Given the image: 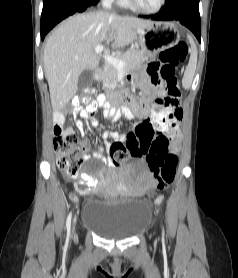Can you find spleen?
<instances>
[{
  "mask_svg": "<svg viewBox=\"0 0 238 278\" xmlns=\"http://www.w3.org/2000/svg\"><path fill=\"white\" fill-rule=\"evenodd\" d=\"M188 38L191 44V55L182 79V85L185 89L190 88L195 75V70L197 65V49L193 39L190 36H188Z\"/></svg>",
  "mask_w": 238,
  "mask_h": 278,
  "instance_id": "3e777b00",
  "label": "spleen"
}]
</instances>
